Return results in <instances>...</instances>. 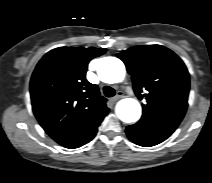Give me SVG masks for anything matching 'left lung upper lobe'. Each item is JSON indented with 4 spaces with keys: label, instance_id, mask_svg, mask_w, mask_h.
<instances>
[{
    "label": "left lung upper lobe",
    "instance_id": "5c2ea615",
    "mask_svg": "<svg viewBox=\"0 0 212 183\" xmlns=\"http://www.w3.org/2000/svg\"><path fill=\"white\" fill-rule=\"evenodd\" d=\"M145 97L141 120L176 129L188 105L189 73L183 61L161 45L135 46L117 54Z\"/></svg>",
    "mask_w": 212,
    "mask_h": 183
}]
</instances>
